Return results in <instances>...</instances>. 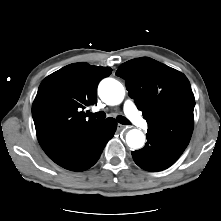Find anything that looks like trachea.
<instances>
[{"label": "trachea", "instance_id": "trachea-1", "mask_svg": "<svg viewBox=\"0 0 221 221\" xmlns=\"http://www.w3.org/2000/svg\"><path fill=\"white\" fill-rule=\"evenodd\" d=\"M89 116L95 117V118H98V119H104L106 117V114L104 112H96V113H90ZM117 121L120 124H123V125H129L130 124V121L127 118L123 117V116H117Z\"/></svg>", "mask_w": 221, "mask_h": 221}]
</instances>
